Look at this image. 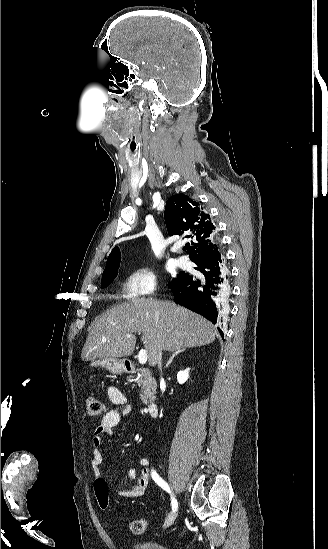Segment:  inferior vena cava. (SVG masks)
Segmentation results:
<instances>
[{
    "mask_svg": "<svg viewBox=\"0 0 328 549\" xmlns=\"http://www.w3.org/2000/svg\"><path fill=\"white\" fill-rule=\"evenodd\" d=\"M160 359H161V353H160V355H159V359H158V363H159V365H160Z\"/></svg>",
    "mask_w": 328,
    "mask_h": 549,
    "instance_id": "inferior-vena-cava-1",
    "label": "inferior vena cava"
}]
</instances>
